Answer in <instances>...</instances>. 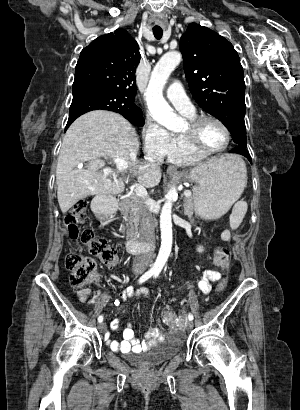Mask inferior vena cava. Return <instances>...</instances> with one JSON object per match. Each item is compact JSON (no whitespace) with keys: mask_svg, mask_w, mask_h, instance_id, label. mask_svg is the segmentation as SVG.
<instances>
[{"mask_svg":"<svg viewBox=\"0 0 300 410\" xmlns=\"http://www.w3.org/2000/svg\"><path fill=\"white\" fill-rule=\"evenodd\" d=\"M154 167L160 168L159 163L150 162ZM139 241L143 244V248L148 250H138V253L133 260V269L137 271H145L149 266L152 257V250L156 246L154 237V218L148 207L144 208L140 213L139 219Z\"/></svg>","mask_w":300,"mask_h":410,"instance_id":"602c4592","label":"inferior vena cava"}]
</instances>
